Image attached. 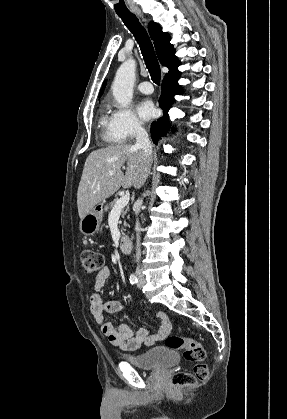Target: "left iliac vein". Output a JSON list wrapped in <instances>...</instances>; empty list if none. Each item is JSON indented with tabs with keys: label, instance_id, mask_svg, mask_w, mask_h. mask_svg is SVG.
<instances>
[{
	"label": "left iliac vein",
	"instance_id": "obj_1",
	"mask_svg": "<svg viewBox=\"0 0 287 419\" xmlns=\"http://www.w3.org/2000/svg\"><path fill=\"white\" fill-rule=\"evenodd\" d=\"M144 284H145L144 278L143 277H139V282H138L137 286L139 288H142Z\"/></svg>",
	"mask_w": 287,
	"mask_h": 419
}]
</instances>
